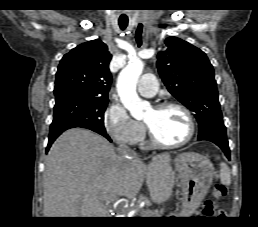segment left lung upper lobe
<instances>
[{
  "mask_svg": "<svg viewBox=\"0 0 258 227\" xmlns=\"http://www.w3.org/2000/svg\"><path fill=\"white\" fill-rule=\"evenodd\" d=\"M165 43L167 50L157 56L158 72L168 91L195 113L198 140L226 136L214 70L206 54L176 37H168Z\"/></svg>",
  "mask_w": 258,
  "mask_h": 227,
  "instance_id": "5c2ea615",
  "label": "left lung upper lobe"
}]
</instances>
